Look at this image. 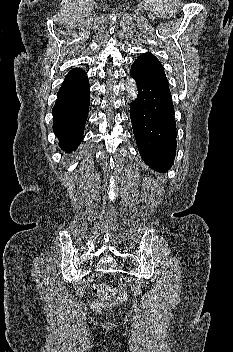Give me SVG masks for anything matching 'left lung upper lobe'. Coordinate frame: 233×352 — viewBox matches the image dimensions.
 <instances>
[{"label":"left lung upper lobe","instance_id":"5c2ea615","mask_svg":"<svg viewBox=\"0 0 233 352\" xmlns=\"http://www.w3.org/2000/svg\"><path fill=\"white\" fill-rule=\"evenodd\" d=\"M137 61L141 62L143 65L148 67L150 70L156 72L159 75L165 76L164 69L162 64L159 60L152 55L151 53L147 52L137 57Z\"/></svg>","mask_w":233,"mask_h":352}]
</instances>
